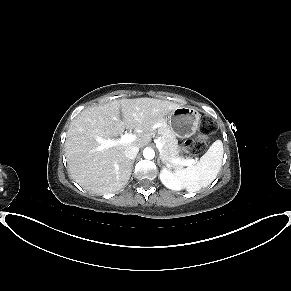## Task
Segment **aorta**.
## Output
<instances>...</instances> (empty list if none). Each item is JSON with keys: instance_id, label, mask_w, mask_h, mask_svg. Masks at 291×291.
<instances>
[{"instance_id": "obj_1", "label": "aorta", "mask_w": 291, "mask_h": 291, "mask_svg": "<svg viewBox=\"0 0 291 291\" xmlns=\"http://www.w3.org/2000/svg\"><path fill=\"white\" fill-rule=\"evenodd\" d=\"M143 156L145 159L151 160L155 157V151L152 148H145L143 150Z\"/></svg>"}]
</instances>
